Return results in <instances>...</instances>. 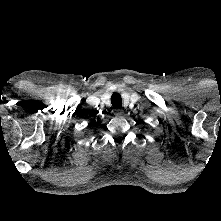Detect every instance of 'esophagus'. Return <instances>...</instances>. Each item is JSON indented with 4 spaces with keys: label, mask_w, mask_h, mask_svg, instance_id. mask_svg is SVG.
<instances>
[{
    "label": "esophagus",
    "mask_w": 221,
    "mask_h": 221,
    "mask_svg": "<svg viewBox=\"0 0 221 221\" xmlns=\"http://www.w3.org/2000/svg\"><path fill=\"white\" fill-rule=\"evenodd\" d=\"M123 113H124L123 110L120 109V108L114 109V114H115L116 116H122Z\"/></svg>",
    "instance_id": "34e87169"
}]
</instances>
